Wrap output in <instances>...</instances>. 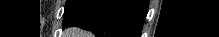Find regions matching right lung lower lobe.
I'll use <instances>...</instances> for the list:
<instances>
[{
    "label": "right lung lower lobe",
    "instance_id": "obj_1",
    "mask_svg": "<svg viewBox=\"0 0 219 37\" xmlns=\"http://www.w3.org/2000/svg\"><path fill=\"white\" fill-rule=\"evenodd\" d=\"M148 0H76L64 12L65 27L78 26L96 37H139Z\"/></svg>",
    "mask_w": 219,
    "mask_h": 37
}]
</instances>
